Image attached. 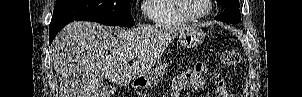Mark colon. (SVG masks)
<instances>
[{
	"mask_svg": "<svg viewBox=\"0 0 302 97\" xmlns=\"http://www.w3.org/2000/svg\"><path fill=\"white\" fill-rule=\"evenodd\" d=\"M221 62L224 66H235L240 63L241 56L239 52L235 50H228L221 54Z\"/></svg>",
	"mask_w": 302,
	"mask_h": 97,
	"instance_id": "1",
	"label": "colon"
}]
</instances>
